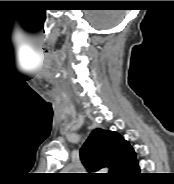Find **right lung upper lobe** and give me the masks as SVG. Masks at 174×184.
Returning <instances> with one entry per match:
<instances>
[{"label":"right lung upper lobe","mask_w":174,"mask_h":184,"mask_svg":"<svg viewBox=\"0 0 174 184\" xmlns=\"http://www.w3.org/2000/svg\"><path fill=\"white\" fill-rule=\"evenodd\" d=\"M80 158L89 171L108 167L110 176L118 177L123 169L136 158L128 141L113 131L95 129L80 150Z\"/></svg>","instance_id":"1"}]
</instances>
